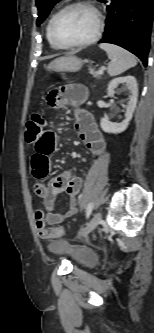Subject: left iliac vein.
Returning a JSON list of instances; mask_svg holds the SVG:
<instances>
[{
	"label": "left iliac vein",
	"mask_w": 154,
	"mask_h": 333,
	"mask_svg": "<svg viewBox=\"0 0 154 333\" xmlns=\"http://www.w3.org/2000/svg\"><path fill=\"white\" fill-rule=\"evenodd\" d=\"M100 221H101V213L96 212L92 217L91 221L89 222V224L87 225L86 229L79 235V238L81 239L87 237L88 234L91 233L97 227Z\"/></svg>",
	"instance_id": "1"
}]
</instances>
